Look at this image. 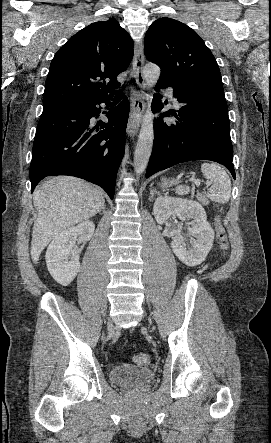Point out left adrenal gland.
I'll return each mask as SVG.
<instances>
[{
  "instance_id": "left-adrenal-gland-1",
  "label": "left adrenal gland",
  "mask_w": 271,
  "mask_h": 443,
  "mask_svg": "<svg viewBox=\"0 0 271 443\" xmlns=\"http://www.w3.org/2000/svg\"><path fill=\"white\" fill-rule=\"evenodd\" d=\"M150 194H151V196L149 198L150 202H153L154 194H157V196H159V192H157V190H155V188H154V190H151Z\"/></svg>"
}]
</instances>
